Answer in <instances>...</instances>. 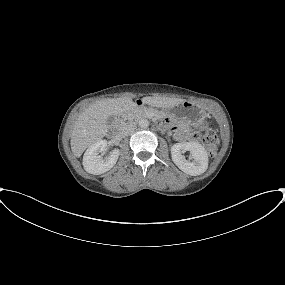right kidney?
Listing matches in <instances>:
<instances>
[{
    "mask_svg": "<svg viewBox=\"0 0 285 285\" xmlns=\"http://www.w3.org/2000/svg\"><path fill=\"white\" fill-rule=\"evenodd\" d=\"M106 147L107 141L99 140L86 150L83 156V166L88 173L99 175L107 172L116 164L120 154L119 149H114L109 156L103 158L99 153L105 151Z\"/></svg>",
    "mask_w": 285,
    "mask_h": 285,
    "instance_id": "ca27d5eb",
    "label": "right kidney"
}]
</instances>
